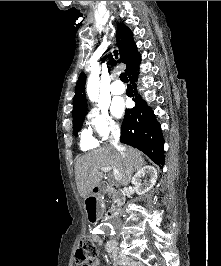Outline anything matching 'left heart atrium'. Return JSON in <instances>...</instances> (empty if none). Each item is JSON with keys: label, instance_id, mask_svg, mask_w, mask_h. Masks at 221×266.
I'll return each mask as SVG.
<instances>
[{"label": "left heart atrium", "instance_id": "obj_1", "mask_svg": "<svg viewBox=\"0 0 221 266\" xmlns=\"http://www.w3.org/2000/svg\"><path fill=\"white\" fill-rule=\"evenodd\" d=\"M124 107L125 106H124L123 100H121V99L116 100L112 106L113 113L116 116L120 117L124 112Z\"/></svg>", "mask_w": 221, "mask_h": 266}]
</instances>
